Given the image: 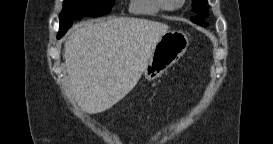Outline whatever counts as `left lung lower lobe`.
Masks as SVG:
<instances>
[{
	"label": "left lung lower lobe",
	"mask_w": 273,
	"mask_h": 144,
	"mask_svg": "<svg viewBox=\"0 0 273 144\" xmlns=\"http://www.w3.org/2000/svg\"><path fill=\"white\" fill-rule=\"evenodd\" d=\"M192 22L199 24V25H203V26H207V24L204 22V20L201 17H197L194 20H191Z\"/></svg>",
	"instance_id": "0a47b994"
}]
</instances>
